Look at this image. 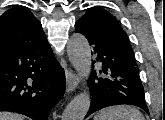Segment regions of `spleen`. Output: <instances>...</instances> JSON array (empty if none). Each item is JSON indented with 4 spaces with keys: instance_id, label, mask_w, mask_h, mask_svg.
Instances as JSON below:
<instances>
[{
    "instance_id": "1",
    "label": "spleen",
    "mask_w": 165,
    "mask_h": 120,
    "mask_svg": "<svg viewBox=\"0 0 165 120\" xmlns=\"http://www.w3.org/2000/svg\"><path fill=\"white\" fill-rule=\"evenodd\" d=\"M94 120H145V118L135 107L117 105L101 110Z\"/></svg>"
}]
</instances>
